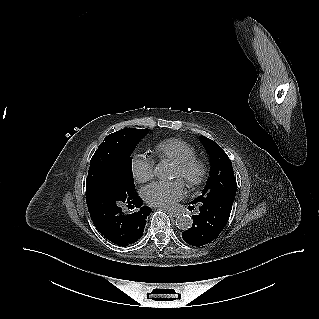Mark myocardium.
Instances as JSON below:
<instances>
[{
	"label": "myocardium",
	"mask_w": 319,
	"mask_h": 319,
	"mask_svg": "<svg viewBox=\"0 0 319 319\" xmlns=\"http://www.w3.org/2000/svg\"><path fill=\"white\" fill-rule=\"evenodd\" d=\"M175 166L182 174L185 183L191 188L201 185L207 176L206 164L196 157L176 163Z\"/></svg>",
	"instance_id": "myocardium-1"
}]
</instances>
